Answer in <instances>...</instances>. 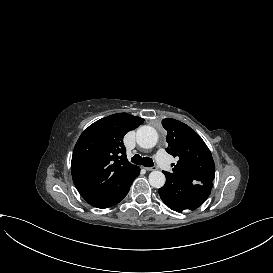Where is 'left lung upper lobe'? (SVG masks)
<instances>
[{"label":"left lung upper lobe","mask_w":273,"mask_h":273,"mask_svg":"<svg viewBox=\"0 0 273 273\" xmlns=\"http://www.w3.org/2000/svg\"><path fill=\"white\" fill-rule=\"evenodd\" d=\"M167 130L166 151L179 161L173 172H164L188 182L212 184L215 176V164L212 154L200 136L185 123L166 118L162 120Z\"/></svg>","instance_id":"1"}]
</instances>
